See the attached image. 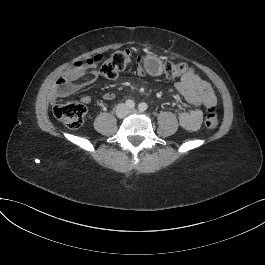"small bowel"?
<instances>
[{
  "instance_id": "c3829d8e",
  "label": "small bowel",
  "mask_w": 265,
  "mask_h": 265,
  "mask_svg": "<svg viewBox=\"0 0 265 265\" xmlns=\"http://www.w3.org/2000/svg\"><path fill=\"white\" fill-rule=\"evenodd\" d=\"M89 74L91 75V78L83 83L72 82L77 78V75L71 78L68 84L64 87L57 84L51 94V98L55 100L59 97L77 93L82 88L92 83L98 76V72L96 70L90 71ZM137 74L139 76L146 75V70L141 64L138 65ZM67 75L68 73L66 76ZM175 89L190 106L189 109H183L179 113V123L181 127L189 131L198 130L201 127L203 119L202 108L207 107L208 105L216 104V96L212 87L197 74L191 73L181 76L180 80L175 83ZM103 99L105 101H112L115 99V94L108 91L104 93ZM80 101L83 104H89L91 102V97L89 95H84L81 97Z\"/></svg>"
}]
</instances>
